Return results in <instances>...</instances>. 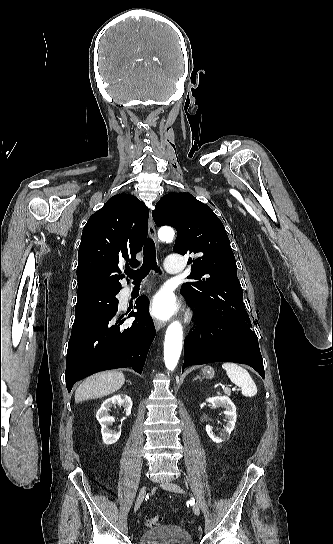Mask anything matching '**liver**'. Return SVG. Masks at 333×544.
I'll use <instances>...</instances> for the list:
<instances>
[{
	"instance_id": "6515ba94",
	"label": "liver",
	"mask_w": 333,
	"mask_h": 544,
	"mask_svg": "<svg viewBox=\"0 0 333 544\" xmlns=\"http://www.w3.org/2000/svg\"><path fill=\"white\" fill-rule=\"evenodd\" d=\"M125 383V377L119 371H105L88 377L75 392L76 403L99 398L119 390Z\"/></svg>"
}]
</instances>
